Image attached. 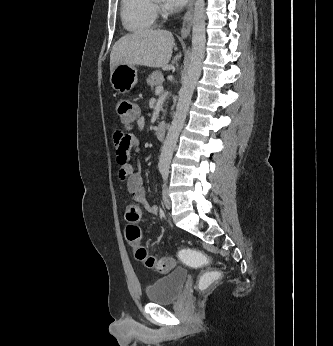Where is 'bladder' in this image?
<instances>
[{
    "label": "bladder",
    "instance_id": "obj_1",
    "mask_svg": "<svg viewBox=\"0 0 333 346\" xmlns=\"http://www.w3.org/2000/svg\"><path fill=\"white\" fill-rule=\"evenodd\" d=\"M187 272L176 268L146 287V296L150 303L166 304L176 300L187 281Z\"/></svg>",
    "mask_w": 333,
    "mask_h": 346
}]
</instances>
